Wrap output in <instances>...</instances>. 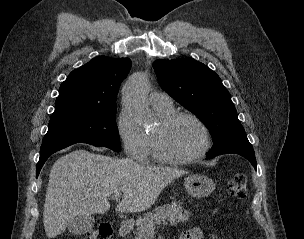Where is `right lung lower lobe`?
I'll use <instances>...</instances> for the list:
<instances>
[{"mask_svg": "<svg viewBox=\"0 0 304 239\" xmlns=\"http://www.w3.org/2000/svg\"><path fill=\"white\" fill-rule=\"evenodd\" d=\"M72 144H75V143H59V144L41 146L40 158H39V162L37 163V166H36V177H38L43 164L45 163V161L48 159V157L50 155H52L53 153L65 148V147H68ZM94 146H100V145H94Z\"/></svg>", "mask_w": 304, "mask_h": 239, "instance_id": "1", "label": "right lung lower lobe"}]
</instances>
